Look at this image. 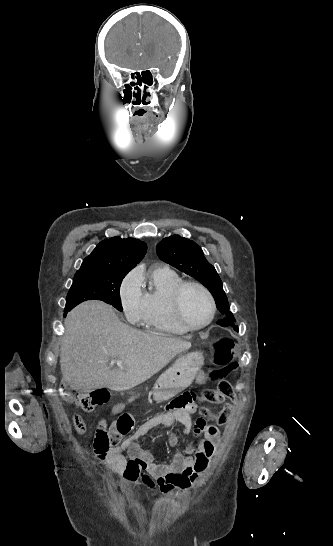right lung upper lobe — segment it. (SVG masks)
I'll use <instances>...</instances> for the list:
<instances>
[{
	"label": "right lung upper lobe",
	"mask_w": 333,
	"mask_h": 546,
	"mask_svg": "<svg viewBox=\"0 0 333 546\" xmlns=\"http://www.w3.org/2000/svg\"><path fill=\"white\" fill-rule=\"evenodd\" d=\"M146 250V243L135 238L113 237L104 240L84 259L75 275H81L94 267L131 270L143 259Z\"/></svg>",
	"instance_id": "right-lung-upper-lobe-1"
}]
</instances>
